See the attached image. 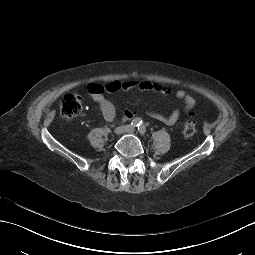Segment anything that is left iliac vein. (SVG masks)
Returning a JSON list of instances; mask_svg holds the SVG:
<instances>
[{
  "label": "left iliac vein",
  "mask_w": 255,
  "mask_h": 255,
  "mask_svg": "<svg viewBox=\"0 0 255 255\" xmlns=\"http://www.w3.org/2000/svg\"><path fill=\"white\" fill-rule=\"evenodd\" d=\"M126 132L129 133V134H134L135 130L133 128H131V127H128Z\"/></svg>",
  "instance_id": "left-iliac-vein-1"
}]
</instances>
